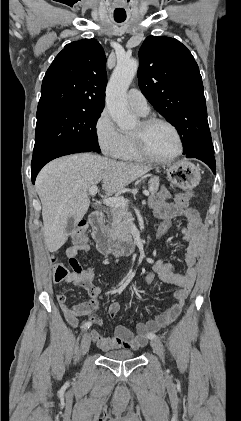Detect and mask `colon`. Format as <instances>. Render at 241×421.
Wrapping results in <instances>:
<instances>
[{"label":"colon","instance_id":"5ec220e1","mask_svg":"<svg viewBox=\"0 0 241 421\" xmlns=\"http://www.w3.org/2000/svg\"><path fill=\"white\" fill-rule=\"evenodd\" d=\"M192 193L191 192H182L175 196V203L179 206H187L191 201ZM171 227V220L170 219H162L161 223L159 224L156 230V239L161 240L163 239ZM87 231H88V223L86 221H81L74 231L71 234V239L76 245L86 244L88 242L87 238ZM70 267L72 268L73 272H80L81 266L74 258L69 259ZM69 269L61 262H54V280L56 282H61L67 280V278L71 275ZM155 278V274L153 272H148L144 275L143 282L145 285H149L153 282Z\"/></svg>","mask_w":241,"mask_h":421}]
</instances>
